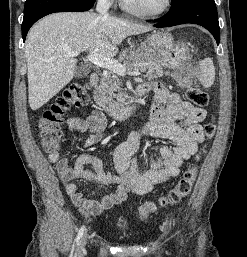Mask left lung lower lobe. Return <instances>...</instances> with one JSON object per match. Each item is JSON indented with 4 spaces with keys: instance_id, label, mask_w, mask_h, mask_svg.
<instances>
[{
    "instance_id": "left-lung-lower-lobe-1",
    "label": "left lung lower lobe",
    "mask_w": 247,
    "mask_h": 257,
    "mask_svg": "<svg viewBox=\"0 0 247 257\" xmlns=\"http://www.w3.org/2000/svg\"><path fill=\"white\" fill-rule=\"evenodd\" d=\"M155 27H170L194 23L205 27L220 42L218 13L214 0H180L172 3L169 12L160 18Z\"/></svg>"
}]
</instances>
